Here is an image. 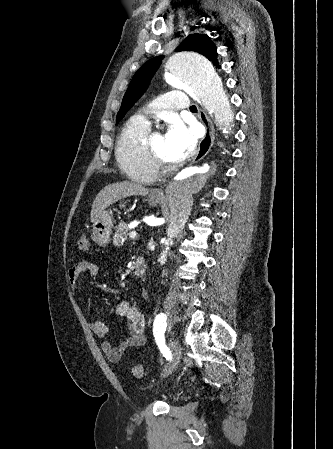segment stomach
I'll return each instance as SVG.
<instances>
[{
  "label": "stomach",
  "instance_id": "1",
  "mask_svg": "<svg viewBox=\"0 0 333 449\" xmlns=\"http://www.w3.org/2000/svg\"><path fill=\"white\" fill-rule=\"evenodd\" d=\"M161 198L149 197L148 202L151 206H156ZM92 239L99 245L105 246L110 241L113 229V215L111 211L104 210L100 216L93 220Z\"/></svg>",
  "mask_w": 333,
  "mask_h": 449
}]
</instances>
